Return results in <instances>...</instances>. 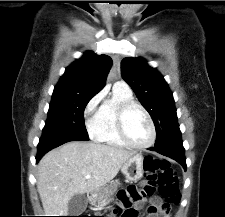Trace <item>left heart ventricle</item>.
<instances>
[{
    "mask_svg": "<svg viewBox=\"0 0 225 217\" xmlns=\"http://www.w3.org/2000/svg\"><path fill=\"white\" fill-rule=\"evenodd\" d=\"M126 131L130 140L137 145H144L150 141V125L140 109L134 108L127 115Z\"/></svg>",
    "mask_w": 225,
    "mask_h": 217,
    "instance_id": "obj_1",
    "label": "left heart ventricle"
}]
</instances>
